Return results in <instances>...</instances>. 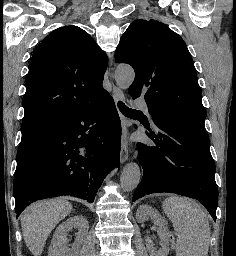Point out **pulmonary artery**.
Listing matches in <instances>:
<instances>
[{
	"instance_id": "pulmonary-artery-1",
	"label": "pulmonary artery",
	"mask_w": 236,
	"mask_h": 256,
	"mask_svg": "<svg viewBox=\"0 0 236 256\" xmlns=\"http://www.w3.org/2000/svg\"><path fill=\"white\" fill-rule=\"evenodd\" d=\"M133 106H142V110L148 113V108L144 101H133Z\"/></svg>"
}]
</instances>
